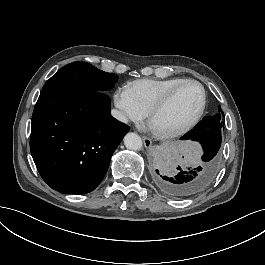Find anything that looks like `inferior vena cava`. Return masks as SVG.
<instances>
[{
    "instance_id": "inferior-vena-cava-1",
    "label": "inferior vena cava",
    "mask_w": 265,
    "mask_h": 265,
    "mask_svg": "<svg viewBox=\"0 0 265 265\" xmlns=\"http://www.w3.org/2000/svg\"><path fill=\"white\" fill-rule=\"evenodd\" d=\"M111 113H112V116L115 117L117 120H119V121H121L123 123H128V119L120 111L112 110Z\"/></svg>"
}]
</instances>
